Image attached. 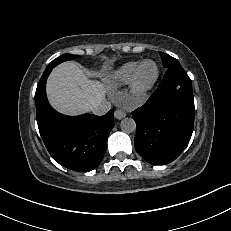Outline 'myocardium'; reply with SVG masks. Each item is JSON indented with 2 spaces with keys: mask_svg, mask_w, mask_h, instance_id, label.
<instances>
[{
  "mask_svg": "<svg viewBox=\"0 0 231 231\" xmlns=\"http://www.w3.org/2000/svg\"><path fill=\"white\" fill-rule=\"evenodd\" d=\"M147 63H153L155 65L156 73L150 82L146 84H141L139 81L140 72L143 66L146 65ZM159 77H160V69L155 61L153 60L142 61L140 65L137 67L136 71L134 72L130 82V92L133 99L137 102H142L147 97L149 92L153 89V87L156 85Z\"/></svg>",
  "mask_w": 231,
  "mask_h": 231,
  "instance_id": "f54148a6",
  "label": "myocardium"
}]
</instances>
